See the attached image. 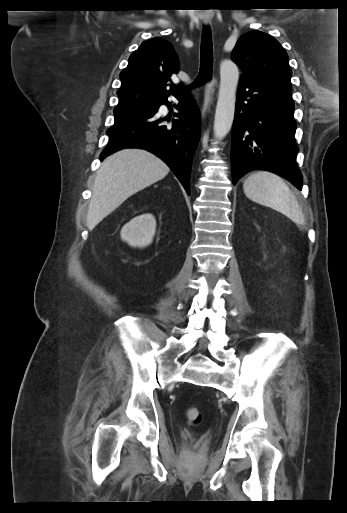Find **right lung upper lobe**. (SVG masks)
<instances>
[{"label":"right lung upper lobe","mask_w":347,"mask_h":513,"mask_svg":"<svg viewBox=\"0 0 347 513\" xmlns=\"http://www.w3.org/2000/svg\"><path fill=\"white\" fill-rule=\"evenodd\" d=\"M178 73V58L170 42L153 38L140 45L129 57L128 66L120 73L118 106H137L146 102L167 100L171 94H182L179 87L167 90L170 77ZM180 90V91H179Z\"/></svg>","instance_id":"right-lung-upper-lobe-1"}]
</instances>
